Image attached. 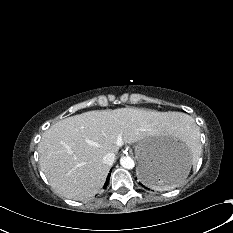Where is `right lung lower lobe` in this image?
I'll return each instance as SVG.
<instances>
[{"label": "right lung lower lobe", "mask_w": 233, "mask_h": 233, "mask_svg": "<svg viewBox=\"0 0 233 233\" xmlns=\"http://www.w3.org/2000/svg\"><path fill=\"white\" fill-rule=\"evenodd\" d=\"M109 179H110V174L108 175V177H107V179H106V182H105V184H104V186H103L104 189L107 187L108 182H109Z\"/></svg>", "instance_id": "98d812e1"}]
</instances>
